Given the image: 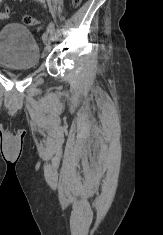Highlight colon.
Here are the masks:
<instances>
[{"label": "colon", "instance_id": "1", "mask_svg": "<svg viewBox=\"0 0 163 235\" xmlns=\"http://www.w3.org/2000/svg\"><path fill=\"white\" fill-rule=\"evenodd\" d=\"M82 0H72V5L74 7H78L81 4ZM10 15L9 9H5L4 11L0 12V19H7ZM23 23L27 26H36L38 24L37 19L32 16L25 15L23 17Z\"/></svg>", "mask_w": 163, "mask_h": 235}]
</instances>
